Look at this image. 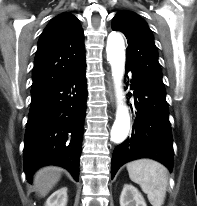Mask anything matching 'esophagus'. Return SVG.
I'll return each mask as SVG.
<instances>
[{
    "instance_id": "34e87169",
    "label": "esophagus",
    "mask_w": 197,
    "mask_h": 206,
    "mask_svg": "<svg viewBox=\"0 0 197 206\" xmlns=\"http://www.w3.org/2000/svg\"><path fill=\"white\" fill-rule=\"evenodd\" d=\"M108 95L110 97L111 102H114L113 83H112L110 75H108Z\"/></svg>"
}]
</instances>
